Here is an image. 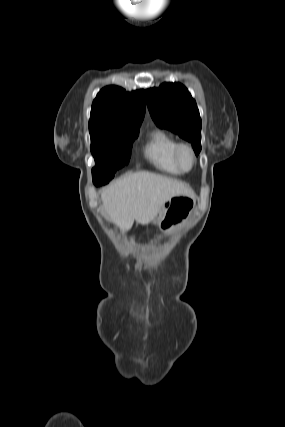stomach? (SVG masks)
I'll use <instances>...</instances> for the list:
<instances>
[{"label":"stomach","instance_id":"obj_1","mask_svg":"<svg viewBox=\"0 0 285 427\" xmlns=\"http://www.w3.org/2000/svg\"><path fill=\"white\" fill-rule=\"evenodd\" d=\"M195 209V201L188 196H174L159 212L157 223L161 230L170 231L176 225L184 223Z\"/></svg>","mask_w":285,"mask_h":427}]
</instances>
